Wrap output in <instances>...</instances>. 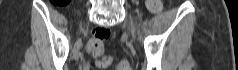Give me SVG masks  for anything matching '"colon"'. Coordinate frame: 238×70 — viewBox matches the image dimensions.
Returning a JSON list of instances; mask_svg holds the SVG:
<instances>
[{
	"label": "colon",
	"instance_id": "1",
	"mask_svg": "<svg viewBox=\"0 0 238 70\" xmlns=\"http://www.w3.org/2000/svg\"><path fill=\"white\" fill-rule=\"evenodd\" d=\"M67 0L56 2L59 5L65 4ZM147 6L152 12H157L161 8L160 0H148ZM111 36V32L108 29L98 28L94 31L93 39L89 43V51L94 53L95 55H100L103 51V43L107 41ZM110 61L108 58H103L102 60L98 61V66L100 68H106L109 65ZM116 70H128V63L126 61H120L115 65Z\"/></svg>",
	"mask_w": 238,
	"mask_h": 70
}]
</instances>
